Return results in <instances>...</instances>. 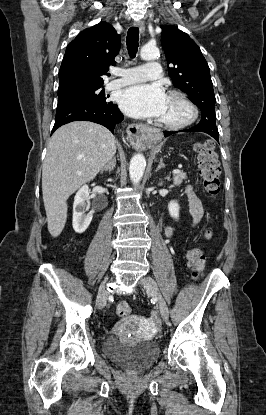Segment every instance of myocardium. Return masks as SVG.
Returning a JSON list of instances; mask_svg holds the SVG:
<instances>
[{
    "label": "myocardium",
    "mask_w": 266,
    "mask_h": 415,
    "mask_svg": "<svg viewBox=\"0 0 266 415\" xmlns=\"http://www.w3.org/2000/svg\"><path fill=\"white\" fill-rule=\"evenodd\" d=\"M168 97L177 99L178 101H180L188 109L189 116L185 120L178 122V123H170V122H164V121L158 120L157 121L158 126L168 129V130H180V129H184L190 126L197 120L198 109L196 105L187 97L186 94H184L181 91L171 90L168 93Z\"/></svg>",
    "instance_id": "myocardium-1"
}]
</instances>
